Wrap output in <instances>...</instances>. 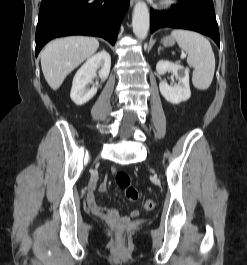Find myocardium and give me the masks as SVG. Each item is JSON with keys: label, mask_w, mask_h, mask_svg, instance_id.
I'll list each match as a JSON object with an SVG mask.
<instances>
[{"label": "myocardium", "mask_w": 247, "mask_h": 265, "mask_svg": "<svg viewBox=\"0 0 247 265\" xmlns=\"http://www.w3.org/2000/svg\"><path fill=\"white\" fill-rule=\"evenodd\" d=\"M178 0H164V5L168 8L174 6Z\"/></svg>", "instance_id": "myocardium-1"}]
</instances>
